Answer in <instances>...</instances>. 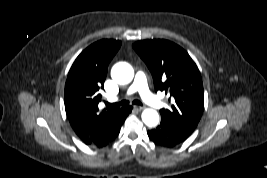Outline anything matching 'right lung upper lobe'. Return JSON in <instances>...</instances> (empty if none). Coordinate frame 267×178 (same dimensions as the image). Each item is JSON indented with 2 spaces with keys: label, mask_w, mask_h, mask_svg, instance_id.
<instances>
[{
  "label": "right lung upper lobe",
  "mask_w": 267,
  "mask_h": 178,
  "mask_svg": "<svg viewBox=\"0 0 267 178\" xmlns=\"http://www.w3.org/2000/svg\"><path fill=\"white\" fill-rule=\"evenodd\" d=\"M121 41L100 40L87 47L74 61L65 84V110L71 127L79 138L89 135L98 126L113 120L120 109L99 111L109 62Z\"/></svg>",
  "instance_id": "obj_1"
}]
</instances>
